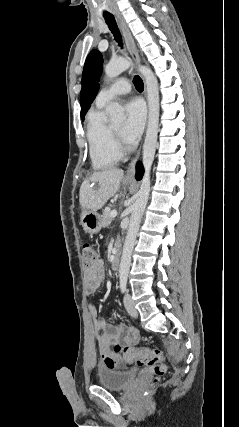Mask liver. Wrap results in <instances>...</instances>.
Masks as SVG:
<instances>
[{
    "label": "liver",
    "mask_w": 239,
    "mask_h": 427,
    "mask_svg": "<svg viewBox=\"0 0 239 427\" xmlns=\"http://www.w3.org/2000/svg\"><path fill=\"white\" fill-rule=\"evenodd\" d=\"M124 171L109 167L94 172L84 180L80 187L79 202L83 209L99 210L113 197L120 188ZM91 183L97 184L93 187Z\"/></svg>",
    "instance_id": "liver-1"
}]
</instances>
